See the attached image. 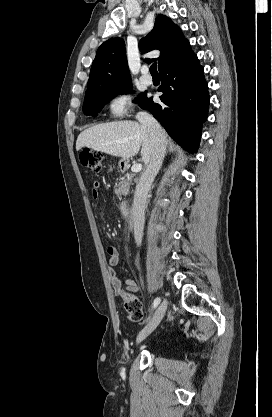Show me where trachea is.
I'll list each match as a JSON object with an SVG mask.
<instances>
[{
	"instance_id": "obj_1",
	"label": "trachea",
	"mask_w": 272,
	"mask_h": 417,
	"mask_svg": "<svg viewBox=\"0 0 272 417\" xmlns=\"http://www.w3.org/2000/svg\"><path fill=\"white\" fill-rule=\"evenodd\" d=\"M150 73H151V75H158V71H157V63L155 62V63H153L151 66H150Z\"/></svg>"
}]
</instances>
